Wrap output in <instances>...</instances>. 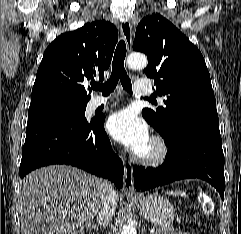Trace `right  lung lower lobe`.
<instances>
[{
	"mask_svg": "<svg viewBox=\"0 0 241 234\" xmlns=\"http://www.w3.org/2000/svg\"><path fill=\"white\" fill-rule=\"evenodd\" d=\"M105 117L91 121L46 120L28 123L22 150L20 177L52 164L82 168L123 185L124 167L104 130Z\"/></svg>",
	"mask_w": 241,
	"mask_h": 234,
	"instance_id": "right-lung-lower-lobe-1",
	"label": "right lung lower lobe"
}]
</instances>
